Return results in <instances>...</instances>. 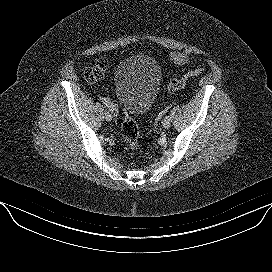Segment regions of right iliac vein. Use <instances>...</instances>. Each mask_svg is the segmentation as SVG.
Instances as JSON below:
<instances>
[{
  "label": "right iliac vein",
  "mask_w": 272,
  "mask_h": 272,
  "mask_svg": "<svg viewBox=\"0 0 272 272\" xmlns=\"http://www.w3.org/2000/svg\"><path fill=\"white\" fill-rule=\"evenodd\" d=\"M106 121L110 122L112 120L111 114L108 113V115L105 116Z\"/></svg>",
  "instance_id": "63e3f726"
}]
</instances>
